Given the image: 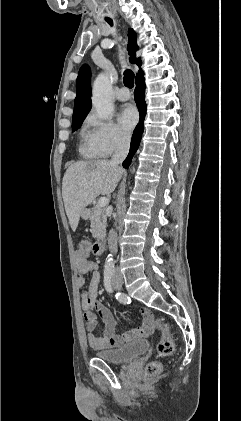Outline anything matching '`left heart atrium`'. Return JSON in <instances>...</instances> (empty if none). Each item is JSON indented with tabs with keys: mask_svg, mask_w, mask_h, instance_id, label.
<instances>
[{
	"mask_svg": "<svg viewBox=\"0 0 241 421\" xmlns=\"http://www.w3.org/2000/svg\"><path fill=\"white\" fill-rule=\"evenodd\" d=\"M138 120V112L136 108L131 104L124 105L119 114L118 121L120 125L127 131H130Z\"/></svg>",
	"mask_w": 241,
	"mask_h": 421,
	"instance_id": "left-heart-atrium-1",
	"label": "left heart atrium"
}]
</instances>
